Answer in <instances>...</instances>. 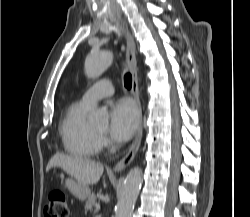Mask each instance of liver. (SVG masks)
Here are the masks:
<instances>
[{"label":"liver","mask_w":250,"mask_h":217,"mask_svg":"<svg viewBox=\"0 0 250 217\" xmlns=\"http://www.w3.org/2000/svg\"><path fill=\"white\" fill-rule=\"evenodd\" d=\"M53 167L62 168L74 177L79 184L84 186L96 184L104 171L102 164L61 153H56L49 160L46 170L49 171Z\"/></svg>","instance_id":"1"}]
</instances>
